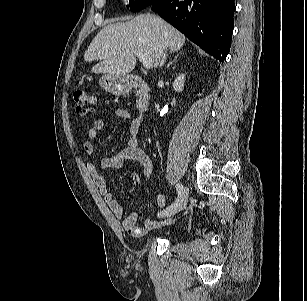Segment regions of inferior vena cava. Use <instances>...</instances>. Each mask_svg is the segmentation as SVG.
<instances>
[{"mask_svg":"<svg viewBox=\"0 0 307 301\" xmlns=\"http://www.w3.org/2000/svg\"><path fill=\"white\" fill-rule=\"evenodd\" d=\"M166 61V48L164 49V51L161 54V61H160V66H163V64Z\"/></svg>","mask_w":307,"mask_h":301,"instance_id":"602c4592","label":"inferior vena cava"}]
</instances>
